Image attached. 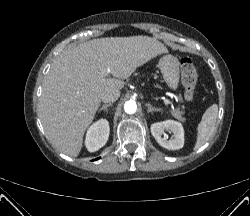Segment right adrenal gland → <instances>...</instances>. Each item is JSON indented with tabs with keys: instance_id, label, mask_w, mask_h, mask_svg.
Instances as JSON below:
<instances>
[{
	"instance_id": "2a0ac1e0",
	"label": "right adrenal gland",
	"mask_w": 250,
	"mask_h": 216,
	"mask_svg": "<svg viewBox=\"0 0 250 216\" xmlns=\"http://www.w3.org/2000/svg\"><path fill=\"white\" fill-rule=\"evenodd\" d=\"M112 106V103H109V104H104L99 110L98 112H101V111H107L108 107Z\"/></svg>"
}]
</instances>
